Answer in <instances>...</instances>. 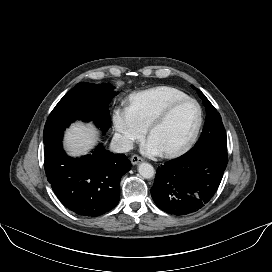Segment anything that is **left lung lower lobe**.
<instances>
[{"mask_svg":"<svg viewBox=\"0 0 272 272\" xmlns=\"http://www.w3.org/2000/svg\"><path fill=\"white\" fill-rule=\"evenodd\" d=\"M228 163V153L193 147L157 169L151 195L156 205L174 215L201 209L216 192Z\"/></svg>","mask_w":272,"mask_h":272,"instance_id":"0a47b994","label":"left lung lower lobe"}]
</instances>
